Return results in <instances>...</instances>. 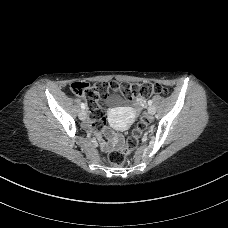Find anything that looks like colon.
Listing matches in <instances>:
<instances>
[{"mask_svg": "<svg viewBox=\"0 0 228 228\" xmlns=\"http://www.w3.org/2000/svg\"><path fill=\"white\" fill-rule=\"evenodd\" d=\"M71 91L78 97L85 99L91 119L92 129L100 133L104 127V112L99 105V100L108 97L114 91L118 92L126 99H139L143 100L151 95L165 94L167 89L159 83H129L123 82L120 84L100 82L94 86H90L86 82H74L71 85ZM147 119L142 118L139 120L136 129L128 137L126 145L122 150L111 151L107 160L109 163L121 166L125 161V155L134 150L138 144L139 139L147 127Z\"/></svg>", "mask_w": 228, "mask_h": 228, "instance_id": "5ec220e1", "label": "colon"}]
</instances>
